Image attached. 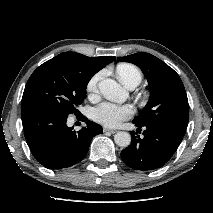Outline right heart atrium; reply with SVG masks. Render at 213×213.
I'll list each match as a JSON object with an SVG mask.
<instances>
[{
  "instance_id": "right-heart-atrium-1",
  "label": "right heart atrium",
  "mask_w": 213,
  "mask_h": 213,
  "mask_svg": "<svg viewBox=\"0 0 213 213\" xmlns=\"http://www.w3.org/2000/svg\"><path fill=\"white\" fill-rule=\"evenodd\" d=\"M102 77V73L94 74L88 81L86 91L89 97H93L98 91V83Z\"/></svg>"
}]
</instances>
